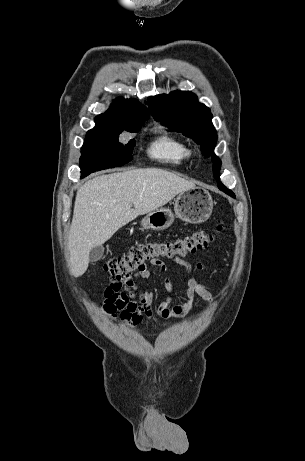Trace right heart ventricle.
I'll return each instance as SVG.
<instances>
[{
    "label": "right heart ventricle",
    "mask_w": 305,
    "mask_h": 461,
    "mask_svg": "<svg viewBox=\"0 0 305 461\" xmlns=\"http://www.w3.org/2000/svg\"><path fill=\"white\" fill-rule=\"evenodd\" d=\"M148 152L152 157L173 165L182 164L192 155L191 148L185 141L165 132L153 140Z\"/></svg>",
    "instance_id": "right-heart-ventricle-1"
}]
</instances>
